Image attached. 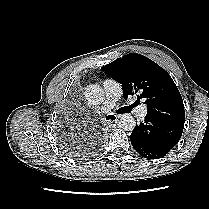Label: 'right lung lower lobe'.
Returning <instances> with one entry per match:
<instances>
[{
	"mask_svg": "<svg viewBox=\"0 0 209 209\" xmlns=\"http://www.w3.org/2000/svg\"><path fill=\"white\" fill-rule=\"evenodd\" d=\"M99 142H100V140H99ZM89 148V150H92V148L91 147H85V150H87Z\"/></svg>",
	"mask_w": 209,
	"mask_h": 209,
	"instance_id": "98d812e1",
	"label": "right lung lower lobe"
}]
</instances>
